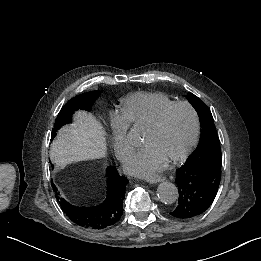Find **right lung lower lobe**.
Returning <instances> with one entry per match:
<instances>
[{
	"mask_svg": "<svg viewBox=\"0 0 261 261\" xmlns=\"http://www.w3.org/2000/svg\"><path fill=\"white\" fill-rule=\"evenodd\" d=\"M108 194L96 207H78L67 202L57 193V200L64 213L75 224L88 229H104L115 224L123 213V199L128 180L118 174L115 167H108ZM56 191L55 185H52Z\"/></svg>",
	"mask_w": 261,
	"mask_h": 261,
	"instance_id": "98d812e1",
	"label": "right lung lower lobe"
}]
</instances>
